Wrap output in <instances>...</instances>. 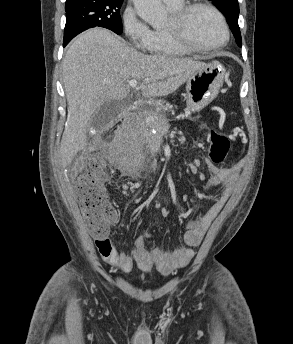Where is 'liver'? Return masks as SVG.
Masks as SVG:
<instances>
[{
    "mask_svg": "<svg viewBox=\"0 0 293 344\" xmlns=\"http://www.w3.org/2000/svg\"><path fill=\"white\" fill-rule=\"evenodd\" d=\"M204 65L191 58L145 55L102 28L79 35L63 61L68 115L60 145L62 165L68 166L86 147L87 127L97 109L128 96L129 80L141 82L145 99L167 96Z\"/></svg>",
    "mask_w": 293,
    "mask_h": 344,
    "instance_id": "liver-1",
    "label": "liver"
}]
</instances>
